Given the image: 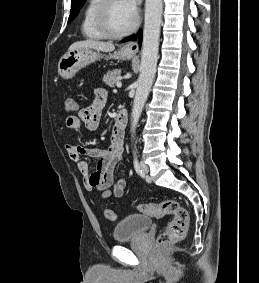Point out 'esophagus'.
I'll use <instances>...</instances> for the list:
<instances>
[{"label": "esophagus", "instance_id": "esophagus-1", "mask_svg": "<svg viewBox=\"0 0 259 283\" xmlns=\"http://www.w3.org/2000/svg\"><path fill=\"white\" fill-rule=\"evenodd\" d=\"M122 49L127 53L136 54L138 51V43L135 41H129L123 45Z\"/></svg>", "mask_w": 259, "mask_h": 283}]
</instances>
